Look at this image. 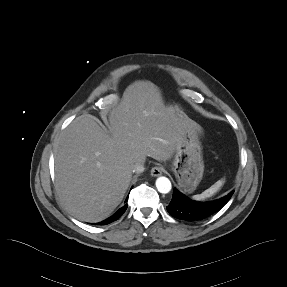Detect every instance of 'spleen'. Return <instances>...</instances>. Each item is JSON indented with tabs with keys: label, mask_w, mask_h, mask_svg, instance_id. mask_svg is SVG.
Instances as JSON below:
<instances>
[{
	"label": "spleen",
	"mask_w": 287,
	"mask_h": 287,
	"mask_svg": "<svg viewBox=\"0 0 287 287\" xmlns=\"http://www.w3.org/2000/svg\"><path fill=\"white\" fill-rule=\"evenodd\" d=\"M224 182H225L224 179L218 180L210 188H208L207 190H205L201 194L194 195L192 198L194 200H197V201L209 198V197L213 196L217 191L220 190V188L222 187Z\"/></svg>",
	"instance_id": "spleen-1"
}]
</instances>
